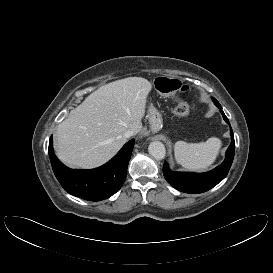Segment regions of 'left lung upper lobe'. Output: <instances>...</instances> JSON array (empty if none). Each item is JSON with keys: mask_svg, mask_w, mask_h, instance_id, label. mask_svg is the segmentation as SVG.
I'll list each match as a JSON object with an SVG mask.
<instances>
[{"mask_svg": "<svg viewBox=\"0 0 273 273\" xmlns=\"http://www.w3.org/2000/svg\"><path fill=\"white\" fill-rule=\"evenodd\" d=\"M214 103H217L218 101L216 99H213Z\"/></svg>", "mask_w": 273, "mask_h": 273, "instance_id": "obj_1", "label": "left lung upper lobe"}]
</instances>
